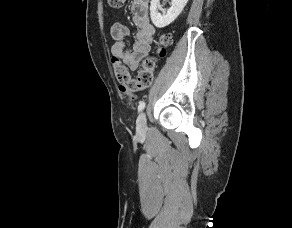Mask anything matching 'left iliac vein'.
<instances>
[{"mask_svg": "<svg viewBox=\"0 0 292 228\" xmlns=\"http://www.w3.org/2000/svg\"><path fill=\"white\" fill-rule=\"evenodd\" d=\"M146 129H147L146 114L144 112H141L136 120L137 134L143 135L146 132Z\"/></svg>", "mask_w": 292, "mask_h": 228, "instance_id": "4c4485c4", "label": "left iliac vein"}]
</instances>
